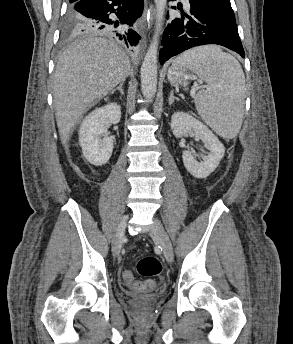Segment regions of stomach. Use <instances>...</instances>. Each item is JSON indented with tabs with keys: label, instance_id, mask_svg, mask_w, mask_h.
Returning <instances> with one entry per match:
<instances>
[{
	"label": "stomach",
	"instance_id": "1",
	"mask_svg": "<svg viewBox=\"0 0 293 344\" xmlns=\"http://www.w3.org/2000/svg\"><path fill=\"white\" fill-rule=\"evenodd\" d=\"M193 72H195L193 69L177 62L175 59L168 69V79L174 86L187 85L190 79V73Z\"/></svg>",
	"mask_w": 293,
	"mask_h": 344
}]
</instances>
